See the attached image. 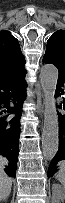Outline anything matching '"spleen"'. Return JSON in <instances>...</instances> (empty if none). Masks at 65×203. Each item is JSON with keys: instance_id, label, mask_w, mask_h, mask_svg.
<instances>
[{"instance_id": "3e777b00", "label": "spleen", "mask_w": 65, "mask_h": 203, "mask_svg": "<svg viewBox=\"0 0 65 203\" xmlns=\"http://www.w3.org/2000/svg\"><path fill=\"white\" fill-rule=\"evenodd\" d=\"M56 179L62 184H65V164L62 162L60 164V169L56 175Z\"/></svg>"}]
</instances>
